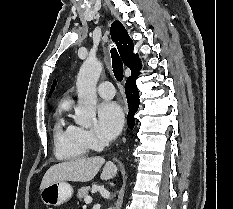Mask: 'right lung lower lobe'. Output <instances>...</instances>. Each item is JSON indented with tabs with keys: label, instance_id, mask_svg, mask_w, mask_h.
<instances>
[{
	"label": "right lung lower lobe",
	"instance_id": "1",
	"mask_svg": "<svg viewBox=\"0 0 233 209\" xmlns=\"http://www.w3.org/2000/svg\"><path fill=\"white\" fill-rule=\"evenodd\" d=\"M138 76L139 74L135 76H130L125 84V93L129 105L127 122L131 129L133 128L135 123L134 114L136 113L139 107V94L138 89L136 87V79Z\"/></svg>",
	"mask_w": 233,
	"mask_h": 209
}]
</instances>
